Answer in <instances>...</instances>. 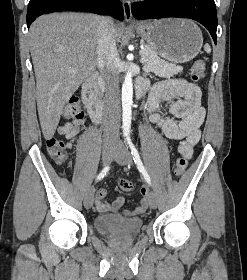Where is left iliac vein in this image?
<instances>
[{"mask_svg":"<svg viewBox=\"0 0 247 280\" xmlns=\"http://www.w3.org/2000/svg\"><path fill=\"white\" fill-rule=\"evenodd\" d=\"M114 160L120 165H129L132 163V155L125 146L119 145L114 153ZM148 202L151 208L157 207L158 201L153 191L149 193Z\"/></svg>","mask_w":247,"mask_h":280,"instance_id":"4c4485c4","label":"left iliac vein"}]
</instances>
